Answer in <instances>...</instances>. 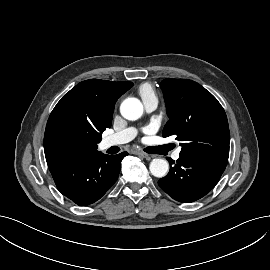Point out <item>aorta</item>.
<instances>
[{"label":"aorta","instance_id":"762f6f07","mask_svg":"<svg viewBox=\"0 0 270 270\" xmlns=\"http://www.w3.org/2000/svg\"><path fill=\"white\" fill-rule=\"evenodd\" d=\"M121 115L127 120H137L143 114V105L137 98H127L120 106ZM150 172L153 176L162 178L169 169V164L164 159H153L149 166Z\"/></svg>","mask_w":270,"mask_h":270}]
</instances>
